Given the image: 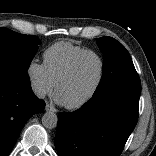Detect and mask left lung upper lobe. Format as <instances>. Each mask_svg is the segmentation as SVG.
I'll return each instance as SVG.
<instances>
[{
    "mask_svg": "<svg viewBox=\"0 0 156 156\" xmlns=\"http://www.w3.org/2000/svg\"><path fill=\"white\" fill-rule=\"evenodd\" d=\"M97 43L103 51V74L93 95L111 90L141 92V82L126 48L112 37H101Z\"/></svg>",
    "mask_w": 156,
    "mask_h": 156,
    "instance_id": "1",
    "label": "left lung upper lobe"
}]
</instances>
